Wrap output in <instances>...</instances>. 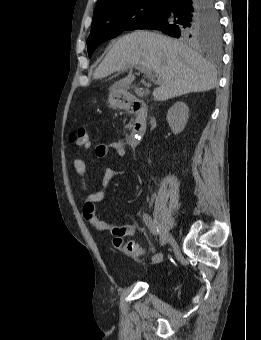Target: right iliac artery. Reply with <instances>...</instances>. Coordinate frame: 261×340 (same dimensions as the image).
<instances>
[{
  "label": "right iliac artery",
  "mask_w": 261,
  "mask_h": 340,
  "mask_svg": "<svg viewBox=\"0 0 261 340\" xmlns=\"http://www.w3.org/2000/svg\"><path fill=\"white\" fill-rule=\"evenodd\" d=\"M143 221L146 224V226L148 227V229L150 230V232L154 235V236H158L159 235V227L156 224V222L152 219V217L148 214H143ZM163 259V254L162 252H158L155 253L152 258H151V262L153 264H157L159 262H161V260Z\"/></svg>",
  "instance_id": "1"
}]
</instances>
